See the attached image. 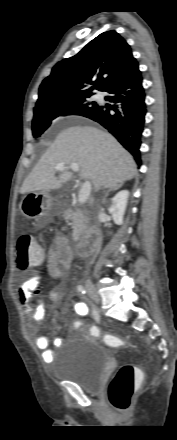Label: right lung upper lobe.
I'll return each instance as SVG.
<instances>
[{"mask_svg": "<svg viewBox=\"0 0 177 440\" xmlns=\"http://www.w3.org/2000/svg\"><path fill=\"white\" fill-rule=\"evenodd\" d=\"M138 67L126 40L116 31H107L90 41L78 54L63 59L39 88L35 107L64 96L106 91L114 82ZM91 85V87H88Z\"/></svg>", "mask_w": 177, "mask_h": 440, "instance_id": "obj_1", "label": "right lung upper lobe"}]
</instances>
